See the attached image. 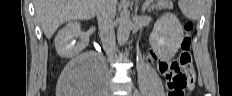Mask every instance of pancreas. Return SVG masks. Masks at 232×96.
Here are the masks:
<instances>
[{
  "instance_id": "pancreas-1",
  "label": "pancreas",
  "mask_w": 232,
  "mask_h": 96,
  "mask_svg": "<svg viewBox=\"0 0 232 96\" xmlns=\"http://www.w3.org/2000/svg\"><path fill=\"white\" fill-rule=\"evenodd\" d=\"M171 8L172 7V4L169 3V4H162V3H159L157 4L156 6H152L150 9H154V8Z\"/></svg>"
}]
</instances>
